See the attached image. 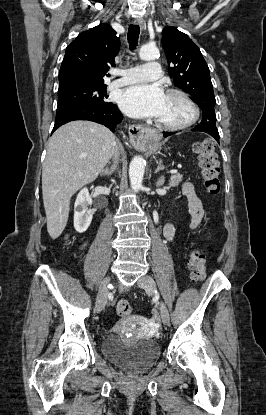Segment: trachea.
Instances as JSON below:
<instances>
[{
	"label": "trachea",
	"instance_id": "1",
	"mask_svg": "<svg viewBox=\"0 0 266 415\" xmlns=\"http://www.w3.org/2000/svg\"><path fill=\"white\" fill-rule=\"evenodd\" d=\"M139 33H140L139 25H130L128 29V43L130 45L131 50H134L136 48V45L138 43Z\"/></svg>",
	"mask_w": 266,
	"mask_h": 415
}]
</instances>
